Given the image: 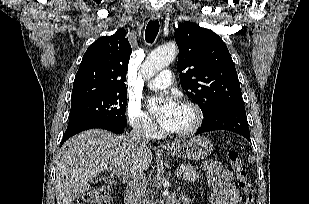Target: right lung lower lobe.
<instances>
[{
  "mask_svg": "<svg viewBox=\"0 0 309 204\" xmlns=\"http://www.w3.org/2000/svg\"><path fill=\"white\" fill-rule=\"evenodd\" d=\"M94 128H101V129H106L109 130L111 132L117 133V134H121L124 132V128L125 127H120V126H116L113 125L111 123L108 122H103V121H99V120H86V121H81L72 125H69L67 127V130L63 136L61 145L67 140L69 139L71 136L84 131V130H88V129H94Z\"/></svg>",
  "mask_w": 309,
  "mask_h": 204,
  "instance_id": "right-lung-lower-lobe-1",
  "label": "right lung lower lobe"
}]
</instances>
